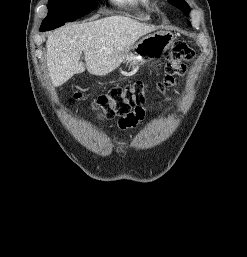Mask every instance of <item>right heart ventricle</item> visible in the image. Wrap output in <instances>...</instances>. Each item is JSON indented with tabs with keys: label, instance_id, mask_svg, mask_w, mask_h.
<instances>
[{
	"label": "right heart ventricle",
	"instance_id": "right-heart-ventricle-1",
	"mask_svg": "<svg viewBox=\"0 0 247 257\" xmlns=\"http://www.w3.org/2000/svg\"><path fill=\"white\" fill-rule=\"evenodd\" d=\"M150 1L151 0H111L115 5L138 12L139 17L143 20L150 18L149 14L144 11V8L149 5Z\"/></svg>",
	"mask_w": 247,
	"mask_h": 257
}]
</instances>
